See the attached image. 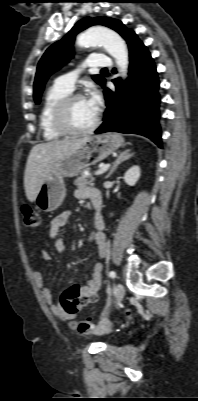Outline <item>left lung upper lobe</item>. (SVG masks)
Returning <instances> with one entry per match:
<instances>
[{
	"instance_id": "5c2ea615",
	"label": "left lung upper lobe",
	"mask_w": 198,
	"mask_h": 401,
	"mask_svg": "<svg viewBox=\"0 0 198 401\" xmlns=\"http://www.w3.org/2000/svg\"><path fill=\"white\" fill-rule=\"evenodd\" d=\"M103 25L118 32L124 39L131 31L118 20L107 17H86L80 20L60 41L51 45L43 54L37 67L34 81V100L37 104L40 102L41 94L48 77L59 70L73 56V42L75 35L80 31L92 26ZM92 78L100 85L104 86L105 79L100 75H93Z\"/></svg>"
}]
</instances>
